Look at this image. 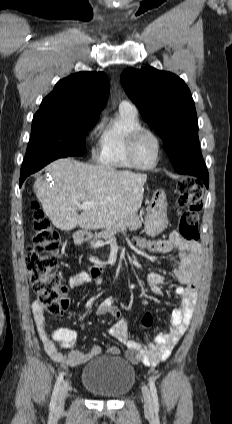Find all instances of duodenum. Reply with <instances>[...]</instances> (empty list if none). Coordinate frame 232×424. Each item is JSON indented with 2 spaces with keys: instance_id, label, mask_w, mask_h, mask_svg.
Listing matches in <instances>:
<instances>
[{
  "instance_id": "410a0bca",
  "label": "duodenum",
  "mask_w": 232,
  "mask_h": 424,
  "mask_svg": "<svg viewBox=\"0 0 232 424\" xmlns=\"http://www.w3.org/2000/svg\"><path fill=\"white\" fill-rule=\"evenodd\" d=\"M90 238H92V235L90 233H87V232H77L76 237H75L76 242H78V243L85 242V241L89 240ZM90 270L93 274L98 275V274L103 273L104 267L95 265V266H92L90 268Z\"/></svg>"
}]
</instances>
